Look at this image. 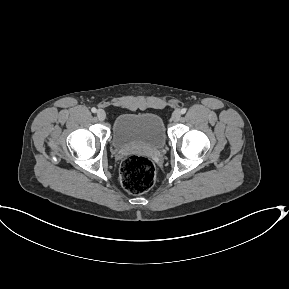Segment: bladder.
I'll return each instance as SVG.
<instances>
[{
    "instance_id": "1",
    "label": "bladder",
    "mask_w": 289,
    "mask_h": 289,
    "mask_svg": "<svg viewBox=\"0 0 289 289\" xmlns=\"http://www.w3.org/2000/svg\"><path fill=\"white\" fill-rule=\"evenodd\" d=\"M167 135L161 117L155 113H124L119 115L112 128L111 141L117 149L137 146L160 149Z\"/></svg>"
}]
</instances>
